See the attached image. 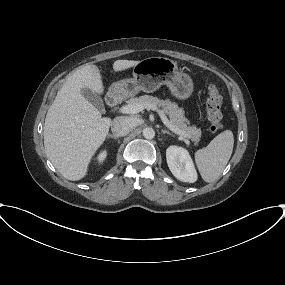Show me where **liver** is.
<instances>
[{
	"instance_id": "6515ba94",
	"label": "liver",
	"mask_w": 285,
	"mask_h": 285,
	"mask_svg": "<svg viewBox=\"0 0 285 285\" xmlns=\"http://www.w3.org/2000/svg\"><path fill=\"white\" fill-rule=\"evenodd\" d=\"M139 61L116 60L115 72L135 66ZM83 88L102 94L104 85L96 65L86 64L70 75L48 109L44 124V147L54 167L68 180L84 178L88 165L104 142L111 119L81 93Z\"/></svg>"
}]
</instances>
